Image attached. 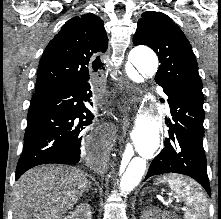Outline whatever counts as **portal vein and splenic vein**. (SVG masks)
I'll return each instance as SVG.
<instances>
[{"instance_id":"1","label":"portal vein and splenic vein","mask_w":221,"mask_h":219,"mask_svg":"<svg viewBox=\"0 0 221 219\" xmlns=\"http://www.w3.org/2000/svg\"><path fill=\"white\" fill-rule=\"evenodd\" d=\"M172 203V200H168L167 201V204H171ZM183 210H186V209H184V208H182Z\"/></svg>"}]
</instances>
